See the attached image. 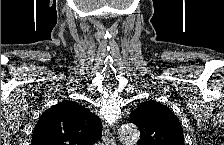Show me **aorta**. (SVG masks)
Wrapping results in <instances>:
<instances>
[{
	"label": "aorta",
	"mask_w": 224,
	"mask_h": 145,
	"mask_svg": "<svg viewBox=\"0 0 224 145\" xmlns=\"http://www.w3.org/2000/svg\"><path fill=\"white\" fill-rule=\"evenodd\" d=\"M118 135L124 145H136L140 138L137 126L131 123L123 124L118 130Z\"/></svg>",
	"instance_id": "obj_1"
}]
</instances>
